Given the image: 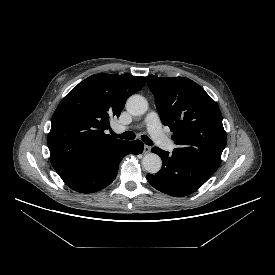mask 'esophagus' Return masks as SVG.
<instances>
[{"mask_svg": "<svg viewBox=\"0 0 275 275\" xmlns=\"http://www.w3.org/2000/svg\"><path fill=\"white\" fill-rule=\"evenodd\" d=\"M151 152V147L148 146V145H145L144 146V153L147 154V153H150Z\"/></svg>", "mask_w": 275, "mask_h": 275, "instance_id": "1", "label": "esophagus"}]
</instances>
